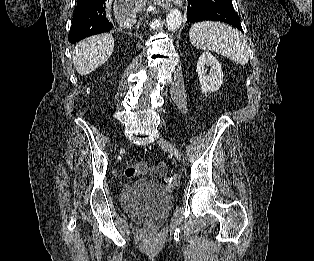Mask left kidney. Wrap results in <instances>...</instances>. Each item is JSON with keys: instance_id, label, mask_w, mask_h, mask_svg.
Segmentation results:
<instances>
[{"instance_id": "5707ae66", "label": "left kidney", "mask_w": 314, "mask_h": 261, "mask_svg": "<svg viewBox=\"0 0 314 261\" xmlns=\"http://www.w3.org/2000/svg\"><path fill=\"white\" fill-rule=\"evenodd\" d=\"M210 67L211 71L207 74V69ZM197 73L199 77L200 87L202 93L207 95L208 92L219 90L223 83V73L220 63L209 52H204L199 57L197 64Z\"/></svg>"}]
</instances>
